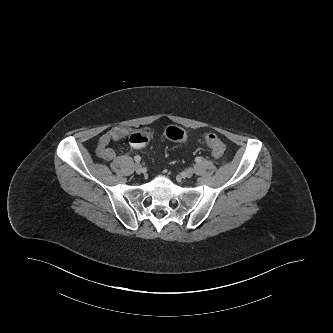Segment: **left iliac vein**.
<instances>
[{
	"instance_id": "obj_1",
	"label": "left iliac vein",
	"mask_w": 333,
	"mask_h": 333,
	"mask_svg": "<svg viewBox=\"0 0 333 333\" xmlns=\"http://www.w3.org/2000/svg\"><path fill=\"white\" fill-rule=\"evenodd\" d=\"M194 174V169L193 168H188L186 171H185V176L187 178H191Z\"/></svg>"
}]
</instances>
